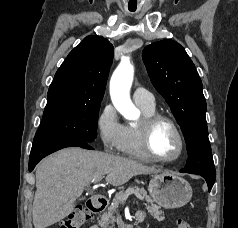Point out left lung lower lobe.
<instances>
[{
	"mask_svg": "<svg viewBox=\"0 0 238 228\" xmlns=\"http://www.w3.org/2000/svg\"><path fill=\"white\" fill-rule=\"evenodd\" d=\"M180 172H187V173L198 174V175L202 176L207 182L209 191L211 190V188L215 182V178H216V176L214 177V176H210V175L200 173V172H188L185 169H181Z\"/></svg>",
	"mask_w": 238,
	"mask_h": 228,
	"instance_id": "left-lung-lower-lobe-1",
	"label": "left lung lower lobe"
}]
</instances>
